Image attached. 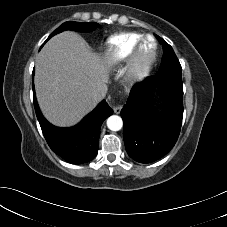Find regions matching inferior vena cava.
Returning <instances> with one entry per match:
<instances>
[{"label":"inferior vena cava","mask_w":227,"mask_h":227,"mask_svg":"<svg viewBox=\"0 0 227 227\" xmlns=\"http://www.w3.org/2000/svg\"><path fill=\"white\" fill-rule=\"evenodd\" d=\"M107 92V86H103L101 88H98L96 91L92 93V98L95 102H99L102 99H104Z\"/></svg>","instance_id":"inferior-vena-cava-1"}]
</instances>
